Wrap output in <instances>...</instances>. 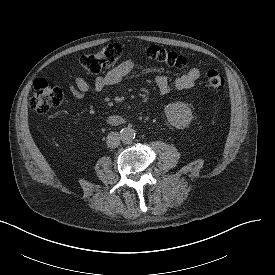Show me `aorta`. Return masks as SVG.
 Masks as SVG:
<instances>
[{"instance_id":"1","label":"aorta","mask_w":275,"mask_h":275,"mask_svg":"<svg viewBox=\"0 0 275 275\" xmlns=\"http://www.w3.org/2000/svg\"><path fill=\"white\" fill-rule=\"evenodd\" d=\"M136 132L131 127H125L120 131V139L124 143H129L134 140Z\"/></svg>"}]
</instances>
